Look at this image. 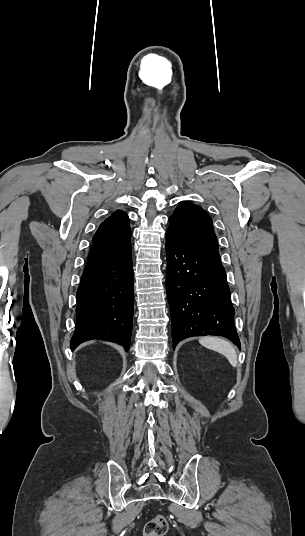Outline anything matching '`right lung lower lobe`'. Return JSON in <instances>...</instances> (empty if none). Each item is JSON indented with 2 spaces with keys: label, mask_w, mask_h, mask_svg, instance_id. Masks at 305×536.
<instances>
[{
  "label": "right lung lower lobe",
  "mask_w": 305,
  "mask_h": 536,
  "mask_svg": "<svg viewBox=\"0 0 305 536\" xmlns=\"http://www.w3.org/2000/svg\"><path fill=\"white\" fill-rule=\"evenodd\" d=\"M134 307L131 246L89 259L77 290V322L71 349L90 339L130 347Z\"/></svg>",
  "instance_id": "right-lung-lower-lobe-1"
}]
</instances>
